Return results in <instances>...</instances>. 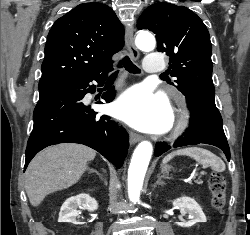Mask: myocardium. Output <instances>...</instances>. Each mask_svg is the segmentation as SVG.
Wrapping results in <instances>:
<instances>
[{
	"label": "myocardium",
	"instance_id": "f54148a6",
	"mask_svg": "<svg viewBox=\"0 0 250 235\" xmlns=\"http://www.w3.org/2000/svg\"><path fill=\"white\" fill-rule=\"evenodd\" d=\"M172 122H173L172 132H171L172 137L179 136L188 127L189 114L184 103H182L181 108L175 114H173Z\"/></svg>",
	"mask_w": 250,
	"mask_h": 235
}]
</instances>
